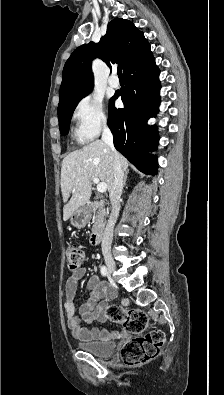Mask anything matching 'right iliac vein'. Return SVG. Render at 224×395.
Wrapping results in <instances>:
<instances>
[{
	"label": "right iliac vein",
	"instance_id": "63e3f726",
	"mask_svg": "<svg viewBox=\"0 0 224 395\" xmlns=\"http://www.w3.org/2000/svg\"><path fill=\"white\" fill-rule=\"evenodd\" d=\"M104 259H105V263H106L108 272L110 274H113L116 270V266H115V262H114L113 258L110 255H105Z\"/></svg>",
	"mask_w": 224,
	"mask_h": 395
}]
</instances>
